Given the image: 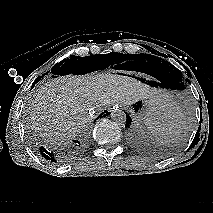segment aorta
<instances>
[{"mask_svg":"<svg viewBox=\"0 0 213 213\" xmlns=\"http://www.w3.org/2000/svg\"><path fill=\"white\" fill-rule=\"evenodd\" d=\"M111 118L118 125H124L127 120L125 112L120 109L114 110L111 114Z\"/></svg>","mask_w":213,"mask_h":213,"instance_id":"aorta-1","label":"aorta"}]
</instances>
